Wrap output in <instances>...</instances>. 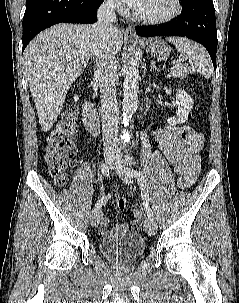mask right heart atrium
Wrapping results in <instances>:
<instances>
[{
	"label": "right heart atrium",
	"instance_id": "right-heart-atrium-1",
	"mask_svg": "<svg viewBox=\"0 0 239 303\" xmlns=\"http://www.w3.org/2000/svg\"><path fill=\"white\" fill-rule=\"evenodd\" d=\"M104 4L113 10H120L121 9V4L119 0H104Z\"/></svg>",
	"mask_w": 239,
	"mask_h": 303
}]
</instances>
